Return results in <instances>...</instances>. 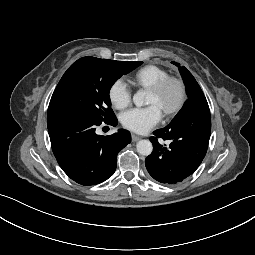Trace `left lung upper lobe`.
I'll return each mask as SVG.
<instances>
[{
	"label": "left lung upper lobe",
	"instance_id": "left-lung-upper-lobe-1",
	"mask_svg": "<svg viewBox=\"0 0 255 255\" xmlns=\"http://www.w3.org/2000/svg\"><path fill=\"white\" fill-rule=\"evenodd\" d=\"M172 63L175 64L176 66H178V69L181 73V76H182L185 86H186L188 100H190L191 98H194V97L204 96L200 86L198 85V83L195 80V78L193 77V75L184 66L180 67V65L176 62H172Z\"/></svg>",
	"mask_w": 255,
	"mask_h": 255
}]
</instances>
